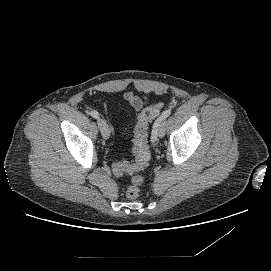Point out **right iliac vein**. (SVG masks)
<instances>
[{
  "instance_id": "obj_1",
  "label": "right iliac vein",
  "mask_w": 271,
  "mask_h": 271,
  "mask_svg": "<svg viewBox=\"0 0 271 271\" xmlns=\"http://www.w3.org/2000/svg\"><path fill=\"white\" fill-rule=\"evenodd\" d=\"M97 124H98V127L100 129V132H101L103 138L108 139L110 136V129H109L107 123L105 122V120L98 118Z\"/></svg>"
}]
</instances>
